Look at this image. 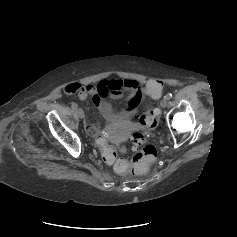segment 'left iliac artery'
<instances>
[{"label": "left iliac artery", "instance_id": "left-iliac-artery-1", "mask_svg": "<svg viewBox=\"0 0 237 237\" xmlns=\"http://www.w3.org/2000/svg\"><path fill=\"white\" fill-rule=\"evenodd\" d=\"M165 98H167L168 100L172 98V94L171 93H168Z\"/></svg>", "mask_w": 237, "mask_h": 237}]
</instances>
